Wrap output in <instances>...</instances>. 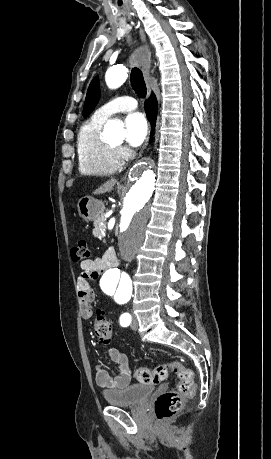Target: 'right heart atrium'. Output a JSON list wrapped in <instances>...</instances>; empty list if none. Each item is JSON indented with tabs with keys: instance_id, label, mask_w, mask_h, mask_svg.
<instances>
[{
	"instance_id": "1",
	"label": "right heart atrium",
	"mask_w": 271,
	"mask_h": 459,
	"mask_svg": "<svg viewBox=\"0 0 271 459\" xmlns=\"http://www.w3.org/2000/svg\"><path fill=\"white\" fill-rule=\"evenodd\" d=\"M117 155L122 160H127L130 157V150L125 146H119L116 148Z\"/></svg>"
}]
</instances>
